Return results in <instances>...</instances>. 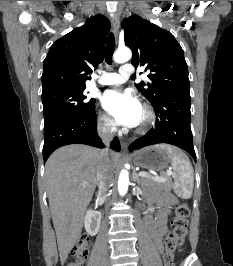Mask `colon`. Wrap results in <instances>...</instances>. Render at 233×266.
<instances>
[{
    "instance_id": "obj_1",
    "label": "colon",
    "mask_w": 233,
    "mask_h": 266,
    "mask_svg": "<svg viewBox=\"0 0 233 266\" xmlns=\"http://www.w3.org/2000/svg\"><path fill=\"white\" fill-rule=\"evenodd\" d=\"M189 213V208L185 203L179 204L175 209L174 217L171 219V230L165 239V253L163 256L165 266H175L174 255L177 250L182 248L185 242ZM87 254L88 238L82 235L71 252L74 260L66 266H83Z\"/></svg>"
}]
</instances>
